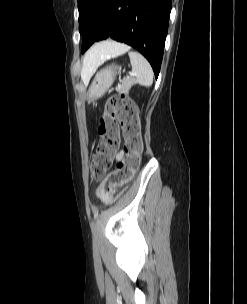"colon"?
<instances>
[{"instance_id": "1", "label": "colon", "mask_w": 247, "mask_h": 304, "mask_svg": "<svg viewBox=\"0 0 247 304\" xmlns=\"http://www.w3.org/2000/svg\"><path fill=\"white\" fill-rule=\"evenodd\" d=\"M125 139L126 156L111 168L120 146L121 132ZM100 141L91 162L93 180L103 179L98 190L104 198H112L114 191L127 184L140 164L142 152L141 125L135 104L124 95L110 96L104 105L99 126Z\"/></svg>"}]
</instances>
